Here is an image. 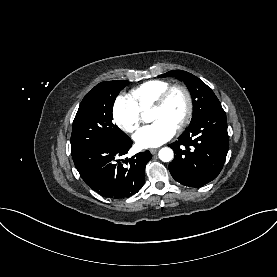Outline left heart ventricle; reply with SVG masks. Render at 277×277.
Listing matches in <instances>:
<instances>
[{
    "mask_svg": "<svg viewBox=\"0 0 277 277\" xmlns=\"http://www.w3.org/2000/svg\"><path fill=\"white\" fill-rule=\"evenodd\" d=\"M187 102L184 94L176 90L169 97L164 107L151 109L150 119L152 121L165 120L177 127L186 112Z\"/></svg>",
    "mask_w": 277,
    "mask_h": 277,
    "instance_id": "b2bd125f",
    "label": "left heart ventricle"
}]
</instances>
